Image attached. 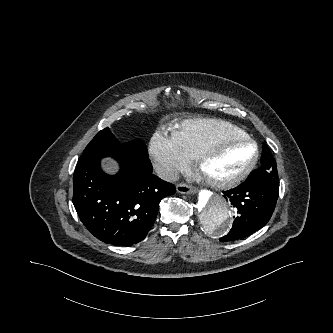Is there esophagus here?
Returning a JSON list of instances; mask_svg holds the SVG:
<instances>
[{
    "mask_svg": "<svg viewBox=\"0 0 333 333\" xmlns=\"http://www.w3.org/2000/svg\"><path fill=\"white\" fill-rule=\"evenodd\" d=\"M176 190L178 193L181 194H191L193 191L191 190V188H189L187 185L185 184H178L176 186Z\"/></svg>",
    "mask_w": 333,
    "mask_h": 333,
    "instance_id": "34e87169",
    "label": "esophagus"
}]
</instances>
